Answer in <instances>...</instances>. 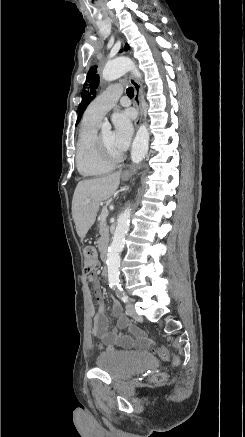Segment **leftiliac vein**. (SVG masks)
<instances>
[{"instance_id": "left-iliac-vein-1", "label": "left iliac vein", "mask_w": 245, "mask_h": 437, "mask_svg": "<svg viewBox=\"0 0 245 437\" xmlns=\"http://www.w3.org/2000/svg\"><path fill=\"white\" fill-rule=\"evenodd\" d=\"M126 310H127V313H128V314H129L133 319H135L136 321H142V317L139 316V315L136 313L135 308H134V305H133L131 302H128V303H127V305H126Z\"/></svg>"}]
</instances>
